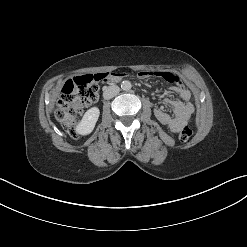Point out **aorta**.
Masks as SVG:
<instances>
[{
  "label": "aorta",
  "instance_id": "aorta-1",
  "mask_svg": "<svg viewBox=\"0 0 247 247\" xmlns=\"http://www.w3.org/2000/svg\"><path fill=\"white\" fill-rule=\"evenodd\" d=\"M131 87H132V84H131L130 81L125 80V81H123V82L121 83V88H122V90H124V91H129V90L131 89Z\"/></svg>",
  "mask_w": 247,
  "mask_h": 247
}]
</instances>
